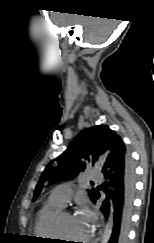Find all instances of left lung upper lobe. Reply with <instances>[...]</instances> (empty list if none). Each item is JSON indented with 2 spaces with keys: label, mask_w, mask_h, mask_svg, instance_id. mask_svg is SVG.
<instances>
[{
  "label": "left lung upper lobe",
  "mask_w": 154,
  "mask_h": 243,
  "mask_svg": "<svg viewBox=\"0 0 154 243\" xmlns=\"http://www.w3.org/2000/svg\"><path fill=\"white\" fill-rule=\"evenodd\" d=\"M124 150L125 145L122 139L106 125L83 130L63 154L46 166L36 186L33 200L40 194L46 180L54 183L62 179L73 178L89 165H94L97 162L104 163L109 155L117 156L119 152ZM96 191L95 188L89 190L91 200H93Z\"/></svg>",
  "instance_id": "5c2ea615"
}]
</instances>
